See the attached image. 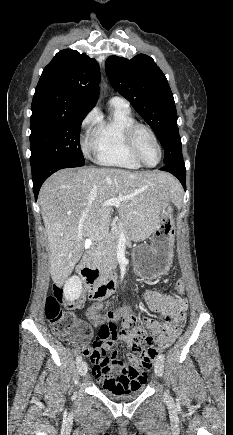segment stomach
I'll use <instances>...</instances> for the list:
<instances>
[{
    "label": "stomach",
    "instance_id": "stomach-1",
    "mask_svg": "<svg viewBox=\"0 0 233 435\" xmlns=\"http://www.w3.org/2000/svg\"><path fill=\"white\" fill-rule=\"evenodd\" d=\"M172 204L173 201H169L163 206L150 244L140 245L133 250V272L142 279H156L166 275L171 268L176 235Z\"/></svg>",
    "mask_w": 233,
    "mask_h": 435
}]
</instances>
